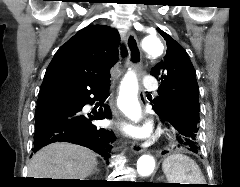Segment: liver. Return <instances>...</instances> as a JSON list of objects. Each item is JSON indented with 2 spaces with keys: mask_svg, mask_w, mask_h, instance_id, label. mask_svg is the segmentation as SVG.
<instances>
[{
  "mask_svg": "<svg viewBox=\"0 0 240 187\" xmlns=\"http://www.w3.org/2000/svg\"><path fill=\"white\" fill-rule=\"evenodd\" d=\"M96 166V155L91 150L76 144L56 142L32 156L28 177L84 180Z\"/></svg>",
  "mask_w": 240,
  "mask_h": 187,
  "instance_id": "obj_1",
  "label": "liver"
}]
</instances>
